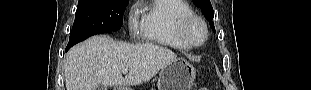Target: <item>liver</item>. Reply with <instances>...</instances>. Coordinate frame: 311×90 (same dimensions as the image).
Returning <instances> with one entry per match:
<instances>
[{"instance_id":"6515ba94","label":"liver","mask_w":311,"mask_h":90,"mask_svg":"<svg viewBox=\"0 0 311 90\" xmlns=\"http://www.w3.org/2000/svg\"><path fill=\"white\" fill-rule=\"evenodd\" d=\"M177 59L170 49L152 43L129 44L100 35L71 48L65 56L66 90L139 85ZM129 73L122 76L121 70Z\"/></svg>"}]
</instances>
